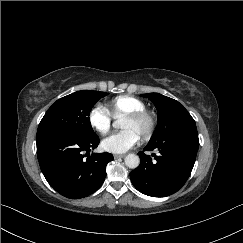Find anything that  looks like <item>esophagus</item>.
<instances>
[{"instance_id":"34e87169","label":"esophagus","mask_w":243,"mask_h":243,"mask_svg":"<svg viewBox=\"0 0 243 243\" xmlns=\"http://www.w3.org/2000/svg\"><path fill=\"white\" fill-rule=\"evenodd\" d=\"M123 157H125L124 154H115V155H114V158H115V159H119V158H123Z\"/></svg>"}]
</instances>
